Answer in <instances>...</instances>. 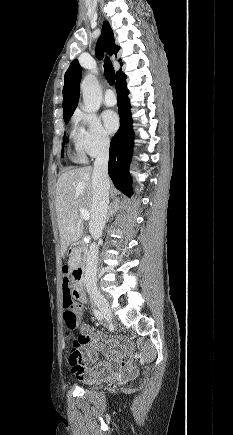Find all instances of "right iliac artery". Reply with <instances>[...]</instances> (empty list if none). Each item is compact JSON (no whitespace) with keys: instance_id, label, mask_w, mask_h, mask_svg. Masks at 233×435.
Here are the masks:
<instances>
[{"instance_id":"82829eb1","label":"right iliac artery","mask_w":233,"mask_h":435,"mask_svg":"<svg viewBox=\"0 0 233 435\" xmlns=\"http://www.w3.org/2000/svg\"><path fill=\"white\" fill-rule=\"evenodd\" d=\"M93 312H94L95 317L98 320H100V321L103 320V315H102V313L99 310L94 309Z\"/></svg>"}]
</instances>
